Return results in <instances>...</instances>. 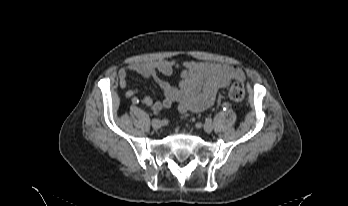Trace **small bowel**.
Segmentation results:
<instances>
[{
    "label": "small bowel",
    "instance_id": "1",
    "mask_svg": "<svg viewBox=\"0 0 348 206\" xmlns=\"http://www.w3.org/2000/svg\"><path fill=\"white\" fill-rule=\"evenodd\" d=\"M176 68L182 69V80L178 86L170 84L160 77L170 76ZM133 72L154 80L162 91V99L153 101L149 96L138 97L137 89L126 91V97L135 105L143 104L153 112L175 107L179 112H199L210 107L219 89L225 88L231 81L245 79L244 72L234 65L210 62L176 63L167 60L132 63L118 72L119 86H128V73Z\"/></svg>",
    "mask_w": 348,
    "mask_h": 206
}]
</instances>
